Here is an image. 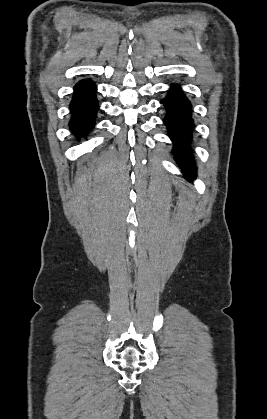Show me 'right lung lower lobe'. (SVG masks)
<instances>
[{
  "label": "right lung lower lobe",
  "instance_id": "1",
  "mask_svg": "<svg viewBox=\"0 0 267 419\" xmlns=\"http://www.w3.org/2000/svg\"><path fill=\"white\" fill-rule=\"evenodd\" d=\"M97 87L91 80H81L74 86L70 102L69 129L79 140L86 137L96 124L99 102L96 98Z\"/></svg>",
  "mask_w": 267,
  "mask_h": 419
}]
</instances>
